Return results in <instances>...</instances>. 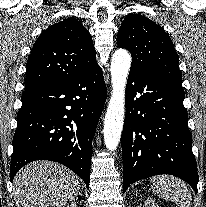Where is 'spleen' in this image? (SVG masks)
Segmentation results:
<instances>
[{
  "label": "spleen",
  "instance_id": "obj_1",
  "mask_svg": "<svg viewBox=\"0 0 206 207\" xmlns=\"http://www.w3.org/2000/svg\"><path fill=\"white\" fill-rule=\"evenodd\" d=\"M151 183L157 196L175 202L180 207H191L192 196L183 181L171 176H157L151 179Z\"/></svg>",
  "mask_w": 206,
  "mask_h": 207
}]
</instances>
